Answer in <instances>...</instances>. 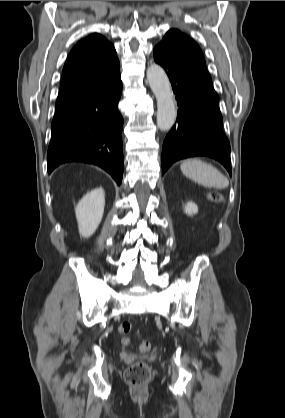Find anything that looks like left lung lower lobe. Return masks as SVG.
<instances>
[{
	"instance_id": "0a47b994",
	"label": "left lung lower lobe",
	"mask_w": 285,
	"mask_h": 418,
	"mask_svg": "<svg viewBox=\"0 0 285 418\" xmlns=\"http://www.w3.org/2000/svg\"><path fill=\"white\" fill-rule=\"evenodd\" d=\"M154 60L167 72L176 94L177 124L162 148V174L177 160L207 156L231 175L230 144L222 130V115L206 64L181 39H163Z\"/></svg>"
}]
</instances>
